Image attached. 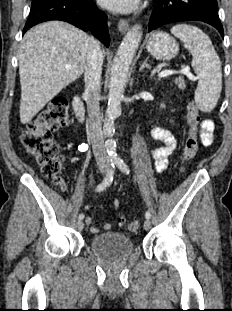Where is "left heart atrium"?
Masks as SVG:
<instances>
[{
	"label": "left heart atrium",
	"mask_w": 232,
	"mask_h": 311,
	"mask_svg": "<svg viewBox=\"0 0 232 311\" xmlns=\"http://www.w3.org/2000/svg\"><path fill=\"white\" fill-rule=\"evenodd\" d=\"M99 2L109 10L127 13L135 10L140 0H99Z\"/></svg>",
	"instance_id": "1"
}]
</instances>
